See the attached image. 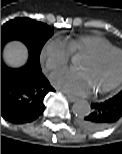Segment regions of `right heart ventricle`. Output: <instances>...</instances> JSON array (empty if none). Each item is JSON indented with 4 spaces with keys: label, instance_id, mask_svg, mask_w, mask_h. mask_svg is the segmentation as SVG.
I'll return each mask as SVG.
<instances>
[{
    "label": "right heart ventricle",
    "instance_id": "1",
    "mask_svg": "<svg viewBox=\"0 0 122 154\" xmlns=\"http://www.w3.org/2000/svg\"><path fill=\"white\" fill-rule=\"evenodd\" d=\"M71 54H91L112 48L114 45L104 37L98 35H82L66 41Z\"/></svg>",
    "mask_w": 122,
    "mask_h": 154
}]
</instances>
